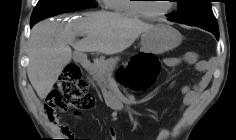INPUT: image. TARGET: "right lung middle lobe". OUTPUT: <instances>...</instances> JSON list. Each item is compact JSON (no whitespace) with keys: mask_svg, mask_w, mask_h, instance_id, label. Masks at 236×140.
Instances as JSON below:
<instances>
[{"mask_svg":"<svg viewBox=\"0 0 236 140\" xmlns=\"http://www.w3.org/2000/svg\"><path fill=\"white\" fill-rule=\"evenodd\" d=\"M96 6L94 0H39L33 10L30 23H37L45 18L69 11Z\"/></svg>","mask_w":236,"mask_h":140,"instance_id":"obj_1","label":"right lung middle lobe"}]
</instances>
